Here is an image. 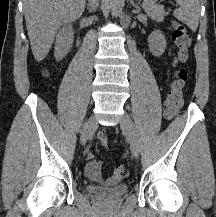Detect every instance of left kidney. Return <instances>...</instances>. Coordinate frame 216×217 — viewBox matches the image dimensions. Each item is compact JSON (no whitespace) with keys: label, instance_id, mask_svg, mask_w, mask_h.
<instances>
[{"label":"left kidney","instance_id":"5707ae66","mask_svg":"<svg viewBox=\"0 0 216 217\" xmlns=\"http://www.w3.org/2000/svg\"><path fill=\"white\" fill-rule=\"evenodd\" d=\"M149 50L156 56H161L166 49V39L160 30L153 31L148 37Z\"/></svg>","mask_w":216,"mask_h":217}]
</instances>
